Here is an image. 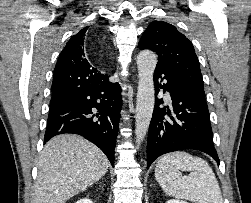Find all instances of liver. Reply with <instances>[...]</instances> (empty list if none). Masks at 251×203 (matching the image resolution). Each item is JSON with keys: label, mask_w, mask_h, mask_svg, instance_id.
Masks as SVG:
<instances>
[{"label": "liver", "mask_w": 251, "mask_h": 203, "mask_svg": "<svg viewBox=\"0 0 251 203\" xmlns=\"http://www.w3.org/2000/svg\"><path fill=\"white\" fill-rule=\"evenodd\" d=\"M108 166L103 152L88 140L55 136L41 153L34 203H65L101 179Z\"/></svg>", "instance_id": "1"}]
</instances>
